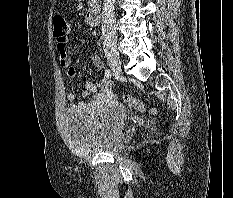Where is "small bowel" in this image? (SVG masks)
Masks as SVG:
<instances>
[{
  "label": "small bowel",
  "instance_id": "c3829d8e",
  "mask_svg": "<svg viewBox=\"0 0 233 198\" xmlns=\"http://www.w3.org/2000/svg\"><path fill=\"white\" fill-rule=\"evenodd\" d=\"M56 48L59 56V63L63 69H65L66 75L69 78L76 76V69L73 66L72 58L68 55L66 50L67 37L64 40H57ZM91 63L98 69H103V61L99 55H94L91 58ZM84 96L93 95V98L89 102H79L73 106L77 111L92 113L100 109L103 104L113 103L116 100L113 92L112 81L109 78H105L98 89L92 82H85ZM69 101L76 99L74 92L67 94Z\"/></svg>",
  "mask_w": 233,
  "mask_h": 198
}]
</instances>
